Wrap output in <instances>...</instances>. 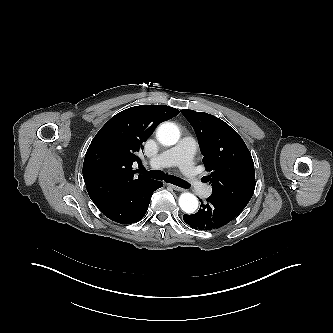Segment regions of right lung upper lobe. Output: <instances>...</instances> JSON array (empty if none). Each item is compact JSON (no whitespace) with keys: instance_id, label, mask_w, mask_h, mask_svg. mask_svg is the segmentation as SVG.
Masks as SVG:
<instances>
[{"instance_id":"1","label":"right lung upper lobe","mask_w":333,"mask_h":333,"mask_svg":"<svg viewBox=\"0 0 333 333\" xmlns=\"http://www.w3.org/2000/svg\"><path fill=\"white\" fill-rule=\"evenodd\" d=\"M179 114L166 105L134 106L113 116L92 140L83 163L88 194L98 207L148 182L134 176L132 164L156 126Z\"/></svg>"}]
</instances>
